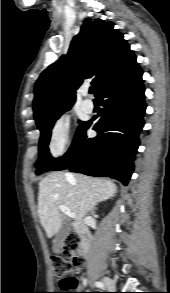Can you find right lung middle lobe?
Returning <instances> with one entry per match:
<instances>
[{
    "instance_id": "right-lung-middle-lobe-1",
    "label": "right lung middle lobe",
    "mask_w": 170,
    "mask_h": 293,
    "mask_svg": "<svg viewBox=\"0 0 170 293\" xmlns=\"http://www.w3.org/2000/svg\"><path fill=\"white\" fill-rule=\"evenodd\" d=\"M60 116H58L52 122L39 128V130L41 131V136H40V141H39V159H38L39 165L37 166L38 170H37L36 174H40L43 170H45V171L51 170L60 159V158H57V159L52 158L49 153V149H48V144H49V140H50V136H51V129H52L55 121ZM81 125L79 126V129H80Z\"/></svg>"
}]
</instances>
